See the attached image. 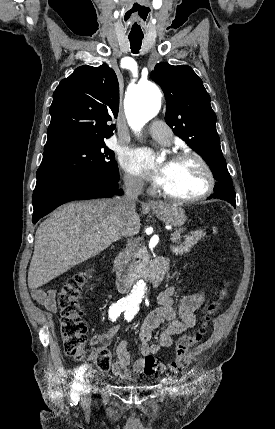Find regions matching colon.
<instances>
[{
	"mask_svg": "<svg viewBox=\"0 0 275 429\" xmlns=\"http://www.w3.org/2000/svg\"><path fill=\"white\" fill-rule=\"evenodd\" d=\"M91 277V270H85L73 275L62 286L57 295V303L61 314V335L65 352L73 359L79 361L85 356L87 343V326L81 318V309L78 297L83 288L87 285ZM228 294L225 286L219 293L218 300L210 303L205 310L203 319L199 327L182 336L176 344V359L172 364L173 370L182 371L191 362V348L200 342L204 337L208 324L214 314L220 309L221 303ZM98 368L107 370L111 366V354L109 350L102 346L92 355ZM158 367L154 358L146 362V374H152Z\"/></svg>",
	"mask_w": 275,
	"mask_h": 429,
	"instance_id": "obj_1",
	"label": "colon"
}]
</instances>
